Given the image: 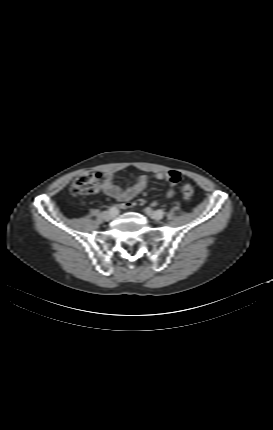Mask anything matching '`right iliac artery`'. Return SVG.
<instances>
[{
	"label": "right iliac artery",
	"mask_w": 273,
	"mask_h": 430,
	"mask_svg": "<svg viewBox=\"0 0 273 430\" xmlns=\"http://www.w3.org/2000/svg\"><path fill=\"white\" fill-rule=\"evenodd\" d=\"M110 210L118 211V209L116 208V206L111 207Z\"/></svg>",
	"instance_id": "1"
}]
</instances>
